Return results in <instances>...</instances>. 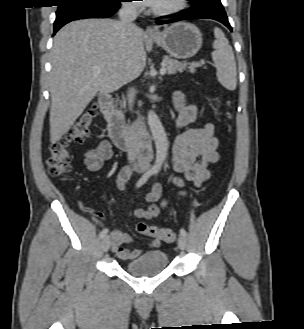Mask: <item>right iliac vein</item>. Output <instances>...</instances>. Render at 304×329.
Masks as SVG:
<instances>
[{
	"label": "right iliac vein",
	"instance_id": "63e3f726",
	"mask_svg": "<svg viewBox=\"0 0 304 329\" xmlns=\"http://www.w3.org/2000/svg\"><path fill=\"white\" fill-rule=\"evenodd\" d=\"M110 237L106 236L104 237L103 241H102V250L104 252L108 251V249L110 248Z\"/></svg>",
	"mask_w": 304,
	"mask_h": 329
}]
</instances>
